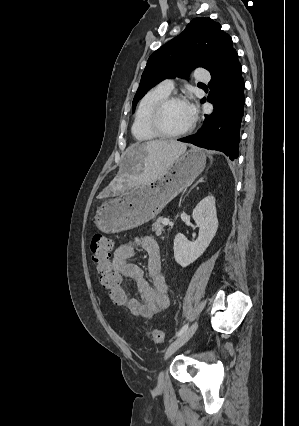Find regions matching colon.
Listing matches in <instances>:
<instances>
[{"mask_svg": "<svg viewBox=\"0 0 299 426\" xmlns=\"http://www.w3.org/2000/svg\"><path fill=\"white\" fill-rule=\"evenodd\" d=\"M112 248L113 243L110 238L101 233L93 235L90 249L92 261L99 274V281L111 301L116 305H123L126 299V288L122 283L121 276L115 272L111 265ZM150 337L155 344H161L165 341L164 333L157 329L150 332Z\"/></svg>", "mask_w": 299, "mask_h": 426, "instance_id": "colon-1", "label": "colon"}]
</instances>
